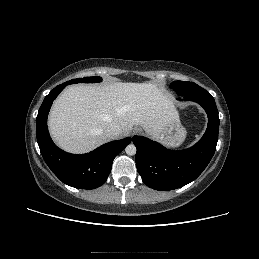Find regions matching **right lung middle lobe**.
<instances>
[{
    "label": "right lung middle lobe",
    "instance_id": "obj_1",
    "mask_svg": "<svg viewBox=\"0 0 259 259\" xmlns=\"http://www.w3.org/2000/svg\"><path fill=\"white\" fill-rule=\"evenodd\" d=\"M101 78L100 77H85V78H78V79H72L70 81H67L68 84H74V83H95V82H100Z\"/></svg>",
    "mask_w": 259,
    "mask_h": 259
}]
</instances>
